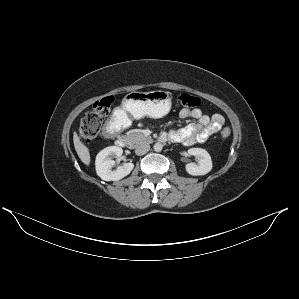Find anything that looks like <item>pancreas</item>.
Masks as SVG:
<instances>
[{"label":"pancreas","instance_id":"obj_1","mask_svg":"<svg viewBox=\"0 0 299 299\" xmlns=\"http://www.w3.org/2000/svg\"><path fill=\"white\" fill-rule=\"evenodd\" d=\"M128 144L131 147H134L138 144L144 143V142H151L152 138L145 136L144 134H142L140 131H132L131 133L126 135Z\"/></svg>","mask_w":299,"mask_h":299}]
</instances>
